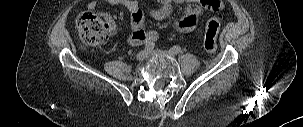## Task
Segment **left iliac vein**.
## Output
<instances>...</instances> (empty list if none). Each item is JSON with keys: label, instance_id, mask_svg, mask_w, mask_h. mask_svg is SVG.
<instances>
[{"label": "left iliac vein", "instance_id": "left-iliac-vein-1", "mask_svg": "<svg viewBox=\"0 0 303 127\" xmlns=\"http://www.w3.org/2000/svg\"><path fill=\"white\" fill-rule=\"evenodd\" d=\"M149 54L151 56H155V57H167V58H171V57L175 56V54L172 53L170 50L166 51V50H160V49L151 50V51H149Z\"/></svg>", "mask_w": 303, "mask_h": 127}]
</instances>
